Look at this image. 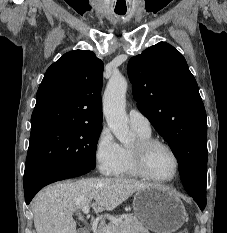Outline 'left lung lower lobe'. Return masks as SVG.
Here are the masks:
<instances>
[{
    "instance_id": "1",
    "label": "left lung lower lobe",
    "mask_w": 227,
    "mask_h": 233,
    "mask_svg": "<svg viewBox=\"0 0 227 233\" xmlns=\"http://www.w3.org/2000/svg\"><path fill=\"white\" fill-rule=\"evenodd\" d=\"M194 198V201L198 204L201 210H204L206 206V198L200 197L199 195H190Z\"/></svg>"
}]
</instances>
